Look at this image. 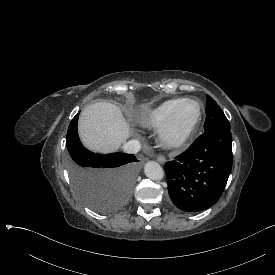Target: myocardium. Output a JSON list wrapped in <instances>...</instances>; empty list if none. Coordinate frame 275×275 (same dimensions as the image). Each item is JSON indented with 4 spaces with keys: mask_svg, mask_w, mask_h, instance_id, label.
<instances>
[{
    "mask_svg": "<svg viewBox=\"0 0 275 275\" xmlns=\"http://www.w3.org/2000/svg\"><path fill=\"white\" fill-rule=\"evenodd\" d=\"M191 103L196 106V115L186 128H179L175 121V115L179 106ZM201 117L200 104L193 99H183L172 109L159 135V142L166 148L181 147L194 133Z\"/></svg>",
    "mask_w": 275,
    "mask_h": 275,
    "instance_id": "myocardium-1",
    "label": "myocardium"
}]
</instances>
